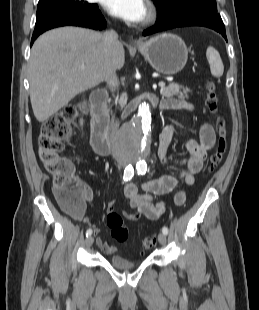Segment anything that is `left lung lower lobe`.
<instances>
[{"label":"left lung lower lobe","mask_w":259,"mask_h":310,"mask_svg":"<svg viewBox=\"0 0 259 310\" xmlns=\"http://www.w3.org/2000/svg\"><path fill=\"white\" fill-rule=\"evenodd\" d=\"M184 26H204L219 32L227 41L225 26L218 13L197 11L188 13L176 19L164 23H156L153 27L145 30L143 35H151L156 32Z\"/></svg>","instance_id":"1"}]
</instances>
